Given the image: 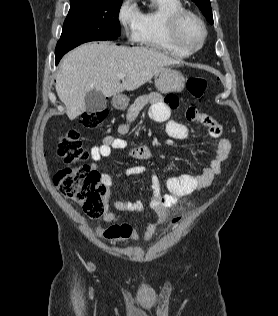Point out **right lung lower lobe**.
<instances>
[{"mask_svg":"<svg viewBox=\"0 0 278 316\" xmlns=\"http://www.w3.org/2000/svg\"><path fill=\"white\" fill-rule=\"evenodd\" d=\"M63 55L64 54L56 55V64L59 62V60L61 59Z\"/></svg>","mask_w":278,"mask_h":316,"instance_id":"98d812e1","label":"right lung lower lobe"}]
</instances>
